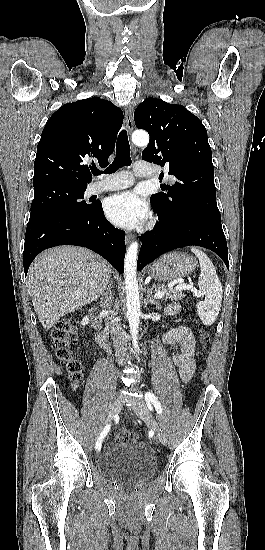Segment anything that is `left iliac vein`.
<instances>
[{"instance_id":"obj_1","label":"left iliac vein","mask_w":265,"mask_h":550,"mask_svg":"<svg viewBox=\"0 0 265 550\" xmlns=\"http://www.w3.org/2000/svg\"><path fill=\"white\" fill-rule=\"evenodd\" d=\"M134 413L140 417L145 423L151 426V428L154 430L156 437L159 439L161 443H165L164 437L162 433L160 432L159 426L156 423L155 419L153 418L152 414L150 413L149 409L144 403H139L138 405L133 407Z\"/></svg>"}]
</instances>
